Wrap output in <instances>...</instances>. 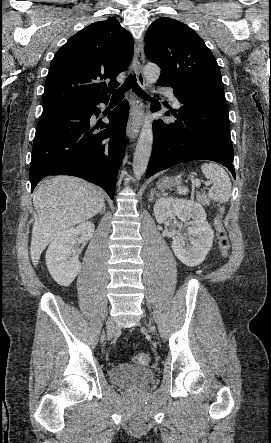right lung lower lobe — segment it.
Here are the masks:
<instances>
[{"mask_svg":"<svg viewBox=\"0 0 271 443\" xmlns=\"http://www.w3.org/2000/svg\"><path fill=\"white\" fill-rule=\"evenodd\" d=\"M108 99L78 101L43 109L30 165L31 191L48 175H72L102 187L114 197L117 173L125 154V131L129 105L126 100L109 113V124L92 128L99 103ZM106 128L92 134L96 128Z\"/></svg>","mask_w":271,"mask_h":443,"instance_id":"obj_1","label":"right lung lower lobe"}]
</instances>
